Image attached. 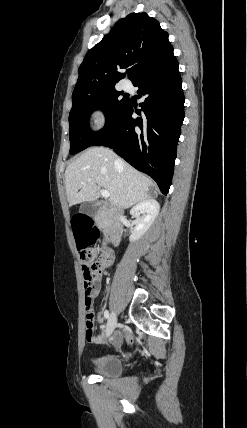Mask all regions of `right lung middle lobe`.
Returning <instances> with one entry per match:
<instances>
[{
  "mask_svg": "<svg viewBox=\"0 0 247 428\" xmlns=\"http://www.w3.org/2000/svg\"><path fill=\"white\" fill-rule=\"evenodd\" d=\"M122 92L115 88L90 93L73 101L69 114L70 154H75L92 145L117 119L128 103V98H120ZM101 109L106 116L105 127L98 132H91L88 127L90 114Z\"/></svg>",
  "mask_w": 247,
  "mask_h": 428,
  "instance_id": "right-lung-middle-lobe-1",
  "label": "right lung middle lobe"
}]
</instances>
